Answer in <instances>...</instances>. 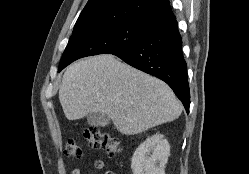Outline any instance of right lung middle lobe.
<instances>
[{"instance_id": "right-lung-middle-lobe-1", "label": "right lung middle lobe", "mask_w": 249, "mask_h": 174, "mask_svg": "<svg viewBox=\"0 0 249 174\" xmlns=\"http://www.w3.org/2000/svg\"><path fill=\"white\" fill-rule=\"evenodd\" d=\"M146 26L143 22L123 21L73 32L58 72L79 58L113 54L129 48L143 36Z\"/></svg>"}]
</instances>
